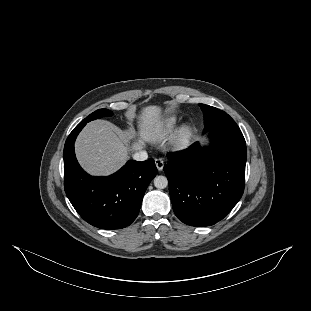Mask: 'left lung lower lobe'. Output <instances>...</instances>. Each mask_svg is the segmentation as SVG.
<instances>
[{
	"mask_svg": "<svg viewBox=\"0 0 311 311\" xmlns=\"http://www.w3.org/2000/svg\"><path fill=\"white\" fill-rule=\"evenodd\" d=\"M211 145L198 143L167 155L164 172L176 216L190 226L223 219L244 191L246 143L239 127L209 131Z\"/></svg>",
	"mask_w": 311,
	"mask_h": 311,
	"instance_id": "1",
	"label": "left lung lower lobe"
}]
</instances>
